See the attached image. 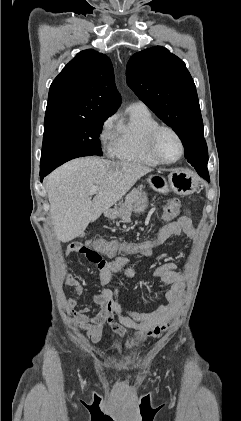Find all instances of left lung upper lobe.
I'll return each instance as SVG.
<instances>
[{"label":"left lung upper lobe","mask_w":241,"mask_h":421,"mask_svg":"<svg viewBox=\"0 0 241 421\" xmlns=\"http://www.w3.org/2000/svg\"><path fill=\"white\" fill-rule=\"evenodd\" d=\"M126 73L129 87L177 133L187 161L207 167L198 96L185 63L166 48L156 46L134 54Z\"/></svg>","instance_id":"left-lung-upper-lobe-1"}]
</instances>
